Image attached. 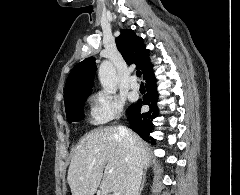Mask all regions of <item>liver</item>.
<instances>
[{"label": "liver", "mask_w": 240, "mask_h": 195, "mask_svg": "<svg viewBox=\"0 0 240 195\" xmlns=\"http://www.w3.org/2000/svg\"><path fill=\"white\" fill-rule=\"evenodd\" d=\"M139 147L144 169L152 155L148 143L131 131ZM128 149L119 135L117 125L92 129L78 141L68 169V183L72 195H94L98 187L103 195L117 191L124 195L127 187Z\"/></svg>", "instance_id": "obj_1"}]
</instances>
